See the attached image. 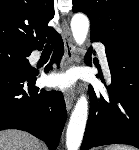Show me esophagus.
Instances as JSON below:
<instances>
[{
	"label": "esophagus",
	"mask_w": 139,
	"mask_h": 150,
	"mask_svg": "<svg viewBox=\"0 0 139 150\" xmlns=\"http://www.w3.org/2000/svg\"><path fill=\"white\" fill-rule=\"evenodd\" d=\"M63 29V41L65 47V55L67 60V65H71L76 61L75 47L72 39V34L68 22L64 19L62 22ZM75 100V93L73 91H68L65 94V104L68 111L71 110Z\"/></svg>",
	"instance_id": "obj_1"
}]
</instances>
